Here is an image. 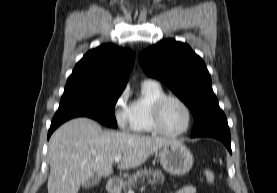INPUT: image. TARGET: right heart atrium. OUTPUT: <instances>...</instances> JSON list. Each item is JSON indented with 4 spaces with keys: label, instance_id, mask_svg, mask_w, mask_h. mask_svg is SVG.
Masks as SVG:
<instances>
[{
    "label": "right heart atrium",
    "instance_id": "d8ad5b80",
    "mask_svg": "<svg viewBox=\"0 0 277 193\" xmlns=\"http://www.w3.org/2000/svg\"><path fill=\"white\" fill-rule=\"evenodd\" d=\"M127 90H123L117 97L113 106V116L117 126L120 129L126 130L130 126V110L127 104Z\"/></svg>",
    "mask_w": 277,
    "mask_h": 193
}]
</instances>
